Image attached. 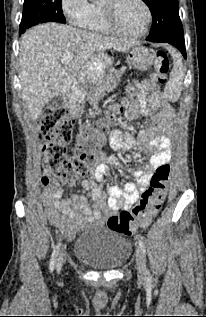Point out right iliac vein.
Returning a JSON list of instances; mask_svg holds the SVG:
<instances>
[{
  "mask_svg": "<svg viewBox=\"0 0 206 317\" xmlns=\"http://www.w3.org/2000/svg\"><path fill=\"white\" fill-rule=\"evenodd\" d=\"M62 265H63V255H60V257L58 258V261H57V265H56L58 272L61 270Z\"/></svg>",
  "mask_w": 206,
  "mask_h": 317,
  "instance_id": "obj_1",
  "label": "right iliac vein"
}]
</instances>
